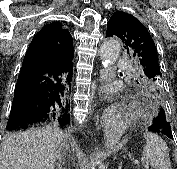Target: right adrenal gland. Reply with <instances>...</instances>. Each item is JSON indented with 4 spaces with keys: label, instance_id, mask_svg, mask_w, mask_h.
<instances>
[{
    "label": "right adrenal gland",
    "instance_id": "1",
    "mask_svg": "<svg viewBox=\"0 0 177 169\" xmlns=\"http://www.w3.org/2000/svg\"><path fill=\"white\" fill-rule=\"evenodd\" d=\"M57 153V169H62V165H64V162L62 161L63 156L60 151Z\"/></svg>",
    "mask_w": 177,
    "mask_h": 169
}]
</instances>
